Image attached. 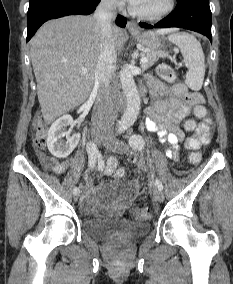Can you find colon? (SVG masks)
<instances>
[{"mask_svg":"<svg viewBox=\"0 0 233 284\" xmlns=\"http://www.w3.org/2000/svg\"><path fill=\"white\" fill-rule=\"evenodd\" d=\"M158 74L160 77L167 82H175L177 79L174 69L167 64H160L157 68ZM194 114L197 118H203L206 116L207 111L204 106H196L194 108ZM196 128L195 120H187L185 122V129L187 131H193ZM45 134H46V125L42 122H39L36 128V137H35V146L38 149H43L45 146ZM189 160L192 163H197L201 160V154L199 152H193L189 156ZM104 172L107 175H113L116 178H123L126 174L125 170L118 166L116 159L109 158L104 166ZM135 216L142 218L150 214V211L146 208H138L135 210Z\"/></svg>","mask_w":233,"mask_h":284,"instance_id":"1","label":"colon"}]
</instances>
